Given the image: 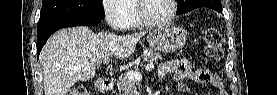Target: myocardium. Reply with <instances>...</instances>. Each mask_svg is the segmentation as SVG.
Instances as JSON below:
<instances>
[{
    "instance_id": "1",
    "label": "myocardium",
    "mask_w": 277,
    "mask_h": 95,
    "mask_svg": "<svg viewBox=\"0 0 277 95\" xmlns=\"http://www.w3.org/2000/svg\"><path fill=\"white\" fill-rule=\"evenodd\" d=\"M145 1L146 0H136V4H135L136 14H137L139 20L144 25L150 26V27L165 26V25H168L173 20L175 14H176V11H177V2H176V0H169L170 5H171L170 14L167 18L162 19V20L150 19L144 14L143 6H144Z\"/></svg>"
}]
</instances>
